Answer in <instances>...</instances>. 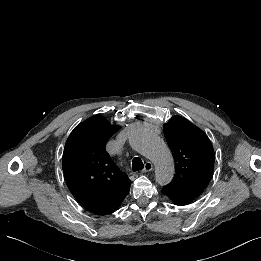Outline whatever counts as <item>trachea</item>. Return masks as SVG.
I'll return each instance as SVG.
<instances>
[{"mask_svg": "<svg viewBox=\"0 0 261 261\" xmlns=\"http://www.w3.org/2000/svg\"><path fill=\"white\" fill-rule=\"evenodd\" d=\"M144 167L142 160L139 157H135L132 160V169L133 171H140Z\"/></svg>", "mask_w": 261, "mask_h": 261, "instance_id": "1", "label": "trachea"}]
</instances>
